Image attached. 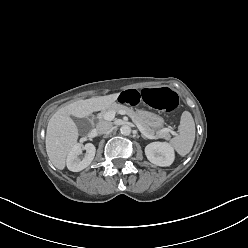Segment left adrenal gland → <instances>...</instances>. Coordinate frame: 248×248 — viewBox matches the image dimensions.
<instances>
[{"mask_svg":"<svg viewBox=\"0 0 248 248\" xmlns=\"http://www.w3.org/2000/svg\"><path fill=\"white\" fill-rule=\"evenodd\" d=\"M141 136H142V138H144V139H146L147 137L146 136H144L143 134H141Z\"/></svg>","mask_w":248,"mask_h":248,"instance_id":"left-adrenal-gland-1","label":"left adrenal gland"}]
</instances>
